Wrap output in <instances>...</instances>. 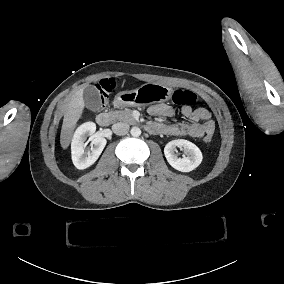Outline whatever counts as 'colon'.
I'll return each mask as SVG.
<instances>
[{"label":"colon","mask_w":284,"mask_h":284,"mask_svg":"<svg viewBox=\"0 0 284 284\" xmlns=\"http://www.w3.org/2000/svg\"><path fill=\"white\" fill-rule=\"evenodd\" d=\"M109 87H110V89L115 88L114 85H110ZM171 99L175 104L180 105L183 108H189L195 102V95L189 89L177 88L172 92ZM204 140L206 142L211 141V136L206 135L204 137Z\"/></svg>","instance_id":"1"}]
</instances>
